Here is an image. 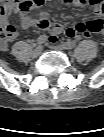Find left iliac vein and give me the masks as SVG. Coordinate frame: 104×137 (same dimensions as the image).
<instances>
[{
  "label": "left iliac vein",
  "instance_id": "1",
  "mask_svg": "<svg viewBox=\"0 0 104 137\" xmlns=\"http://www.w3.org/2000/svg\"><path fill=\"white\" fill-rule=\"evenodd\" d=\"M51 48L56 50V51H64L67 49V45L66 44H60V45L51 46Z\"/></svg>",
  "mask_w": 104,
  "mask_h": 137
}]
</instances>
